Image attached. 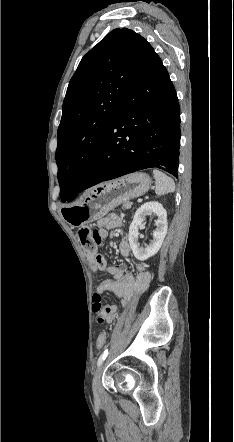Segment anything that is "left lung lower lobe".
Instances as JSON below:
<instances>
[{"mask_svg":"<svg viewBox=\"0 0 234 442\" xmlns=\"http://www.w3.org/2000/svg\"><path fill=\"white\" fill-rule=\"evenodd\" d=\"M179 147L180 108L176 91L154 52L124 95L77 194L102 181L151 167L178 177Z\"/></svg>","mask_w":234,"mask_h":442,"instance_id":"0a47b994","label":"left lung lower lobe"}]
</instances>
